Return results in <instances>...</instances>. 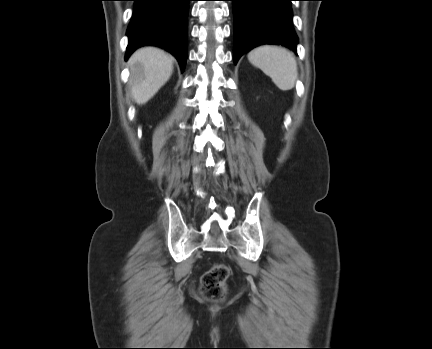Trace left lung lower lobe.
I'll list each match as a JSON object with an SVG mask.
<instances>
[{
    "mask_svg": "<svg viewBox=\"0 0 432 349\" xmlns=\"http://www.w3.org/2000/svg\"><path fill=\"white\" fill-rule=\"evenodd\" d=\"M234 12V62L263 44L284 45L296 52L292 0H230Z\"/></svg>",
    "mask_w": 432,
    "mask_h": 349,
    "instance_id": "1",
    "label": "left lung lower lobe"
}]
</instances>
